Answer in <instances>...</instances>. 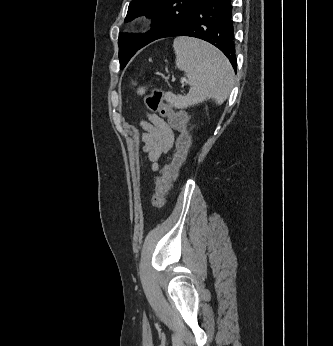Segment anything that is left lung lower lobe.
Listing matches in <instances>:
<instances>
[{
  "mask_svg": "<svg viewBox=\"0 0 333 346\" xmlns=\"http://www.w3.org/2000/svg\"><path fill=\"white\" fill-rule=\"evenodd\" d=\"M232 9L231 0H203L160 38L191 36L205 40L219 48L236 71Z\"/></svg>",
  "mask_w": 333,
  "mask_h": 346,
  "instance_id": "0a47b994",
  "label": "left lung lower lobe"
}]
</instances>
